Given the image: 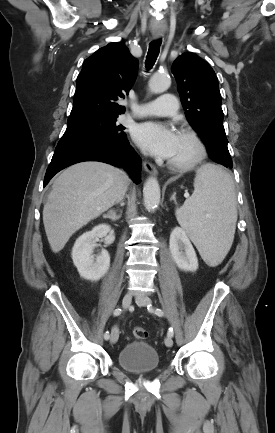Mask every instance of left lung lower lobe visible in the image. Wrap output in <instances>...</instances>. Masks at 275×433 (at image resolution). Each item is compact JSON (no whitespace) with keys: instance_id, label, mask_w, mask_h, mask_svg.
<instances>
[{"instance_id":"1","label":"left lung lower lobe","mask_w":275,"mask_h":433,"mask_svg":"<svg viewBox=\"0 0 275 433\" xmlns=\"http://www.w3.org/2000/svg\"><path fill=\"white\" fill-rule=\"evenodd\" d=\"M225 167H229V168H232V167H233V164H232V165H227V166H225Z\"/></svg>"}]
</instances>
